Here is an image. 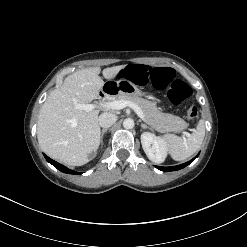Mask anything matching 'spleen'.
<instances>
[{
	"mask_svg": "<svg viewBox=\"0 0 247 247\" xmlns=\"http://www.w3.org/2000/svg\"><path fill=\"white\" fill-rule=\"evenodd\" d=\"M205 137L204 121L200 120L194 132L187 138L167 134L164 139L167 150L175 161H183L192 156L201 146Z\"/></svg>",
	"mask_w": 247,
	"mask_h": 247,
	"instance_id": "spleen-1",
	"label": "spleen"
}]
</instances>
